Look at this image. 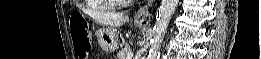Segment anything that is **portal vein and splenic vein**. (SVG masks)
Instances as JSON below:
<instances>
[{
  "label": "portal vein and splenic vein",
  "instance_id": "portal-vein-and-splenic-vein-1",
  "mask_svg": "<svg viewBox=\"0 0 261 59\" xmlns=\"http://www.w3.org/2000/svg\"><path fill=\"white\" fill-rule=\"evenodd\" d=\"M126 59H132V53H129Z\"/></svg>",
  "mask_w": 261,
  "mask_h": 59
}]
</instances>
